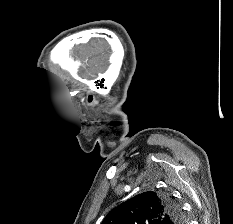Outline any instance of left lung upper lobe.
Wrapping results in <instances>:
<instances>
[{
    "instance_id": "left-lung-upper-lobe-1",
    "label": "left lung upper lobe",
    "mask_w": 233,
    "mask_h": 224,
    "mask_svg": "<svg viewBox=\"0 0 233 224\" xmlns=\"http://www.w3.org/2000/svg\"><path fill=\"white\" fill-rule=\"evenodd\" d=\"M183 216L171 196L148 191L115 207L101 224H182Z\"/></svg>"
}]
</instances>
